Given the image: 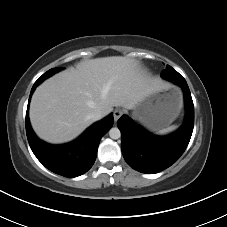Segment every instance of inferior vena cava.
Segmentation results:
<instances>
[{"label": "inferior vena cava", "instance_id": "obj_1", "mask_svg": "<svg viewBox=\"0 0 227 227\" xmlns=\"http://www.w3.org/2000/svg\"><path fill=\"white\" fill-rule=\"evenodd\" d=\"M104 116V113L100 110H96L95 112H93L91 115H90V118L93 120V121H97V120H100L102 117Z\"/></svg>", "mask_w": 227, "mask_h": 227}]
</instances>
